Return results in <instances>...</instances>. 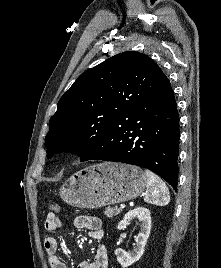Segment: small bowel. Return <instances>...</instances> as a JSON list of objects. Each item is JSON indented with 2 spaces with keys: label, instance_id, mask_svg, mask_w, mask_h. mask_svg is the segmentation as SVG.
Listing matches in <instances>:
<instances>
[{
  "label": "small bowel",
  "instance_id": "c3829d8e",
  "mask_svg": "<svg viewBox=\"0 0 221 268\" xmlns=\"http://www.w3.org/2000/svg\"><path fill=\"white\" fill-rule=\"evenodd\" d=\"M74 226L77 229L88 230L89 236L97 241H102L104 232L101 221L94 216H78L74 220ZM64 227V223L57 215L49 214L45 221V228L49 232H56ZM48 256V263L51 268H67L66 264L59 258V244L54 237H48L44 243ZM77 268H108V253L106 247L100 244L94 259L86 260L79 263Z\"/></svg>",
  "mask_w": 221,
  "mask_h": 268
}]
</instances>
